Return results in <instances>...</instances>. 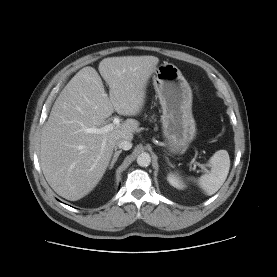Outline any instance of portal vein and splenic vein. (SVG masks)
<instances>
[{
	"instance_id": "18ae733b",
	"label": "portal vein and splenic vein",
	"mask_w": 277,
	"mask_h": 277,
	"mask_svg": "<svg viewBox=\"0 0 277 277\" xmlns=\"http://www.w3.org/2000/svg\"><path fill=\"white\" fill-rule=\"evenodd\" d=\"M119 123H120L119 117H114L113 122L111 124H108L101 129L88 128V129H86V131H87V133H105V132L112 130L115 126L119 125ZM193 163L195 165L199 166L205 172H208L205 164H200V163L196 162L195 160H193Z\"/></svg>"
}]
</instances>
